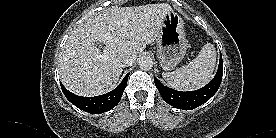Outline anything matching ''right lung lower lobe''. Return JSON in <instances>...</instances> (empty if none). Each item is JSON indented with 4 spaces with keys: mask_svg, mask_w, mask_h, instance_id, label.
Segmentation results:
<instances>
[{
    "mask_svg": "<svg viewBox=\"0 0 276 138\" xmlns=\"http://www.w3.org/2000/svg\"><path fill=\"white\" fill-rule=\"evenodd\" d=\"M129 73L116 89L96 97H81L68 91L62 83L61 88L65 97L79 109L91 114H101L114 108L120 101L127 84Z\"/></svg>",
    "mask_w": 276,
    "mask_h": 138,
    "instance_id": "obj_1",
    "label": "right lung lower lobe"
}]
</instances>
